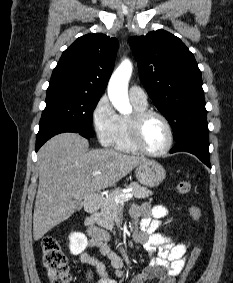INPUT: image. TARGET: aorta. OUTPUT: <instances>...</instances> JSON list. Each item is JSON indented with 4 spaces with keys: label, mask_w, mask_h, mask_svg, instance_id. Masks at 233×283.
Listing matches in <instances>:
<instances>
[{
    "label": "aorta",
    "mask_w": 233,
    "mask_h": 283,
    "mask_svg": "<svg viewBox=\"0 0 233 283\" xmlns=\"http://www.w3.org/2000/svg\"><path fill=\"white\" fill-rule=\"evenodd\" d=\"M132 74V63L124 60L112 74L108 84V96L113 106L122 114L132 111L128 98V82Z\"/></svg>",
    "instance_id": "1"
}]
</instances>
